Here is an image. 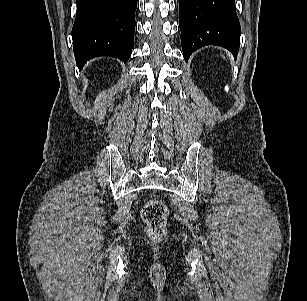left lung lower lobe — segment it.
I'll return each mask as SVG.
<instances>
[{"label": "left lung lower lobe", "instance_id": "obj_1", "mask_svg": "<svg viewBox=\"0 0 307 301\" xmlns=\"http://www.w3.org/2000/svg\"><path fill=\"white\" fill-rule=\"evenodd\" d=\"M179 13L185 61L206 45L222 46L237 56L241 28L235 0H180Z\"/></svg>", "mask_w": 307, "mask_h": 301}]
</instances>
